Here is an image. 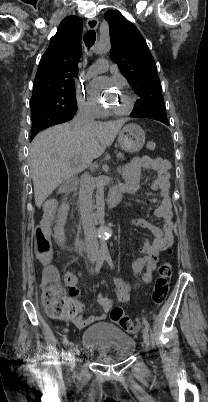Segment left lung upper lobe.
I'll list each match as a JSON object with an SVG mask.
<instances>
[{
    "label": "left lung upper lobe",
    "mask_w": 208,
    "mask_h": 402,
    "mask_svg": "<svg viewBox=\"0 0 208 402\" xmlns=\"http://www.w3.org/2000/svg\"><path fill=\"white\" fill-rule=\"evenodd\" d=\"M105 19L109 23L111 58L140 97L131 116L168 122L156 64L146 41L120 12L110 10Z\"/></svg>",
    "instance_id": "1"
}]
</instances>
